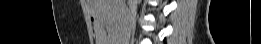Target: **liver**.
<instances>
[{"instance_id":"obj_1","label":"liver","mask_w":261,"mask_h":44,"mask_svg":"<svg viewBox=\"0 0 261 44\" xmlns=\"http://www.w3.org/2000/svg\"><path fill=\"white\" fill-rule=\"evenodd\" d=\"M87 5L96 19L97 44H127L125 42H128V36L124 34L127 26L117 25L134 24V19H129V14H123L127 13L125 0H87Z\"/></svg>"}]
</instances>
